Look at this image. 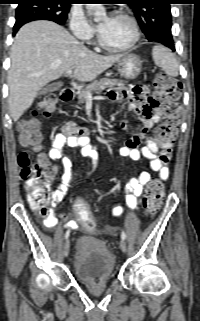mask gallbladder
Masks as SVG:
<instances>
[{"instance_id":"obj_1","label":"gallbladder","mask_w":200,"mask_h":321,"mask_svg":"<svg viewBox=\"0 0 200 321\" xmlns=\"http://www.w3.org/2000/svg\"><path fill=\"white\" fill-rule=\"evenodd\" d=\"M62 85L60 83H53L44 86L39 92L38 96L44 95L46 93L54 92L59 89Z\"/></svg>"}]
</instances>
